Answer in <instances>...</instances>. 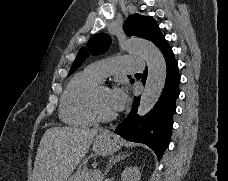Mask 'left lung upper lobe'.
<instances>
[{"mask_svg": "<svg viewBox=\"0 0 228 181\" xmlns=\"http://www.w3.org/2000/svg\"><path fill=\"white\" fill-rule=\"evenodd\" d=\"M124 31L128 36H138L152 41L155 45L164 39L157 23L151 17L142 16L140 14L131 15L127 19L124 24ZM110 41V37L105 33H99L92 36L87 43V49L82 47L79 50L76 59L72 64L69 75L81 66L89 56V53L92 55L104 53L108 49Z\"/></svg>", "mask_w": 228, "mask_h": 181, "instance_id": "left-lung-upper-lobe-1", "label": "left lung upper lobe"}]
</instances>
